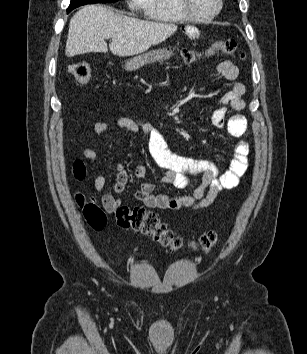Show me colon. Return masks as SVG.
Returning a JSON list of instances; mask_svg holds the SVG:
<instances>
[{"label": "colon", "mask_w": 307, "mask_h": 354, "mask_svg": "<svg viewBox=\"0 0 307 354\" xmlns=\"http://www.w3.org/2000/svg\"><path fill=\"white\" fill-rule=\"evenodd\" d=\"M236 50V42L232 39H227L213 43L204 53V56L217 52L233 55ZM181 56L186 63H193L200 60L202 54L191 49H184L181 52ZM67 74L77 83L86 84L91 78V66L85 61L76 62L68 67ZM74 174L78 179H82L85 176L84 165L79 161L75 163ZM77 203L88 224L95 230L103 229L106 224V213L97 202L92 198L77 195ZM104 208L107 211L114 212L116 224L119 228L139 231L172 251H178L183 246V241L179 236L175 235L165 223H162L155 213L148 211L142 206L130 208L125 205H119L108 210L104 205ZM216 242V233L210 231L192 241L191 247L194 250L199 249L207 252L214 247Z\"/></svg>", "instance_id": "obj_1"}]
</instances>
